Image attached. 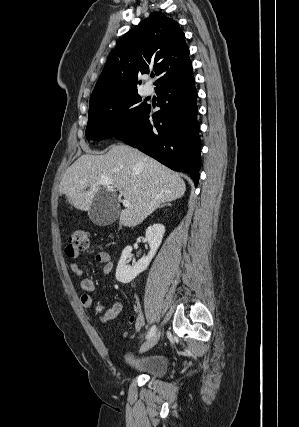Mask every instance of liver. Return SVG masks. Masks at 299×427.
Instances as JSON below:
<instances>
[{"mask_svg":"<svg viewBox=\"0 0 299 427\" xmlns=\"http://www.w3.org/2000/svg\"><path fill=\"white\" fill-rule=\"evenodd\" d=\"M102 178H109L110 185L130 202L119 218L127 227L140 224L162 203L181 198L186 191L178 173L135 148L118 144L104 155H82L63 175L60 192L75 208L89 211Z\"/></svg>","mask_w":299,"mask_h":427,"instance_id":"1","label":"liver"}]
</instances>
